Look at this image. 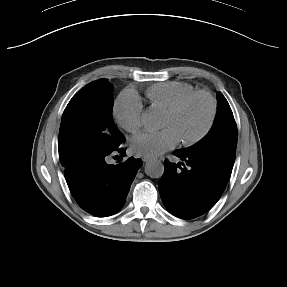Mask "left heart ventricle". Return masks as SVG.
Listing matches in <instances>:
<instances>
[{"mask_svg":"<svg viewBox=\"0 0 287 287\" xmlns=\"http://www.w3.org/2000/svg\"><path fill=\"white\" fill-rule=\"evenodd\" d=\"M209 114V106L203 97L191 100L178 114L164 115L163 128H172L179 139L197 135L205 126Z\"/></svg>","mask_w":287,"mask_h":287,"instance_id":"left-heart-ventricle-1","label":"left heart ventricle"}]
</instances>
